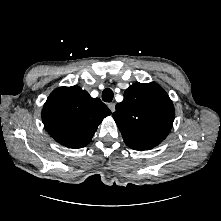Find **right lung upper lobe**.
Wrapping results in <instances>:
<instances>
[{
  "instance_id": "right-lung-upper-lobe-1",
  "label": "right lung upper lobe",
  "mask_w": 221,
  "mask_h": 221,
  "mask_svg": "<svg viewBox=\"0 0 221 221\" xmlns=\"http://www.w3.org/2000/svg\"><path fill=\"white\" fill-rule=\"evenodd\" d=\"M110 114L99 98H92L80 87H59L47 98L42 121L58 143L77 149L89 144L98 125Z\"/></svg>"
}]
</instances>
